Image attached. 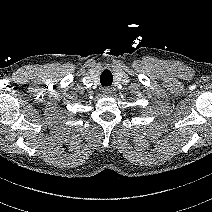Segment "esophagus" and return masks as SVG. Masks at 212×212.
Returning a JSON list of instances; mask_svg holds the SVG:
<instances>
[{
	"label": "esophagus",
	"instance_id": "obj_1",
	"mask_svg": "<svg viewBox=\"0 0 212 212\" xmlns=\"http://www.w3.org/2000/svg\"><path fill=\"white\" fill-rule=\"evenodd\" d=\"M102 93H103L105 96H109V95H111V93H112V88H110V87H105V88L102 89Z\"/></svg>",
	"mask_w": 212,
	"mask_h": 212
}]
</instances>
